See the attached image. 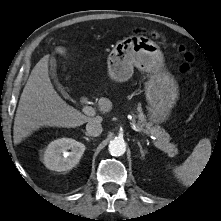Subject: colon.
Masks as SVG:
<instances>
[{
    "instance_id": "obj_1",
    "label": "colon",
    "mask_w": 221,
    "mask_h": 221,
    "mask_svg": "<svg viewBox=\"0 0 221 221\" xmlns=\"http://www.w3.org/2000/svg\"><path fill=\"white\" fill-rule=\"evenodd\" d=\"M151 36L156 39L160 37L157 33H151ZM178 51L183 53L184 57V62L180 68V72L184 75L189 74L192 71L193 55L189 52H186L182 46L178 47Z\"/></svg>"
}]
</instances>
